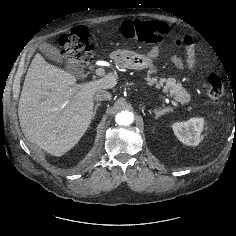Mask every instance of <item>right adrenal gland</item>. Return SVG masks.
Instances as JSON below:
<instances>
[{
	"label": "right adrenal gland",
	"mask_w": 236,
	"mask_h": 236,
	"mask_svg": "<svg viewBox=\"0 0 236 236\" xmlns=\"http://www.w3.org/2000/svg\"><path fill=\"white\" fill-rule=\"evenodd\" d=\"M100 106V103H97L96 105H95V108H94V114H93V118H94V115L96 114V111H97V109H98V107Z\"/></svg>",
	"instance_id": "right-adrenal-gland-1"
}]
</instances>
